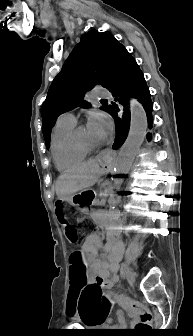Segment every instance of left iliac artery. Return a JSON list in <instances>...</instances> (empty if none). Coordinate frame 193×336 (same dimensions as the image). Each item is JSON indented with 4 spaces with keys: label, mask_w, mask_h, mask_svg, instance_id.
I'll list each match as a JSON object with an SVG mask.
<instances>
[{
    "label": "left iliac artery",
    "mask_w": 193,
    "mask_h": 336,
    "mask_svg": "<svg viewBox=\"0 0 193 336\" xmlns=\"http://www.w3.org/2000/svg\"><path fill=\"white\" fill-rule=\"evenodd\" d=\"M124 265H122V267H121V274H124Z\"/></svg>",
    "instance_id": "1"
}]
</instances>
